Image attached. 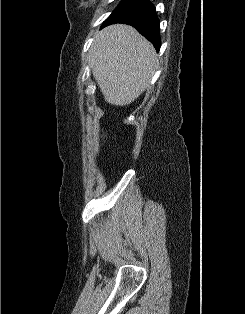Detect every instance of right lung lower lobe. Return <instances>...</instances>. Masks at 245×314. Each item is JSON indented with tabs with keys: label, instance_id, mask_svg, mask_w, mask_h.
<instances>
[{
	"label": "right lung lower lobe",
	"instance_id": "obj_1",
	"mask_svg": "<svg viewBox=\"0 0 245 314\" xmlns=\"http://www.w3.org/2000/svg\"><path fill=\"white\" fill-rule=\"evenodd\" d=\"M115 23L133 26L146 37L158 51L161 46L159 20L155 7L148 0H129L116 9L103 23L102 27Z\"/></svg>",
	"mask_w": 245,
	"mask_h": 314
}]
</instances>
